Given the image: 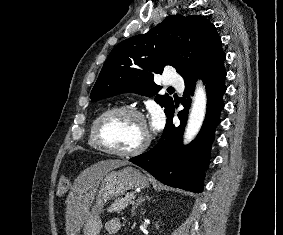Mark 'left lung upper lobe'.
Returning a JSON list of instances; mask_svg holds the SVG:
<instances>
[{
	"mask_svg": "<svg viewBox=\"0 0 283 235\" xmlns=\"http://www.w3.org/2000/svg\"><path fill=\"white\" fill-rule=\"evenodd\" d=\"M185 52L189 60L176 58ZM221 39L216 28L202 16L171 15L149 32L119 43L109 54L91 91L90 99L98 101L120 93L155 96L160 86L154 74L166 65L176 68L187 79L195 78L224 62ZM168 117L174 108L169 95H156Z\"/></svg>",
	"mask_w": 283,
	"mask_h": 235,
	"instance_id": "left-lung-upper-lobe-1",
	"label": "left lung upper lobe"
}]
</instances>
